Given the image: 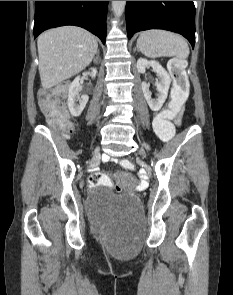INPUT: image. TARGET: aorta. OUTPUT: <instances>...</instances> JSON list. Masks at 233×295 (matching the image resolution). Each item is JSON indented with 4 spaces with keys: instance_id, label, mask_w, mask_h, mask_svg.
Instances as JSON below:
<instances>
[{
    "instance_id": "1",
    "label": "aorta",
    "mask_w": 233,
    "mask_h": 295,
    "mask_svg": "<svg viewBox=\"0 0 233 295\" xmlns=\"http://www.w3.org/2000/svg\"><path fill=\"white\" fill-rule=\"evenodd\" d=\"M126 1H112V10L116 17H120L125 9Z\"/></svg>"
}]
</instances>
